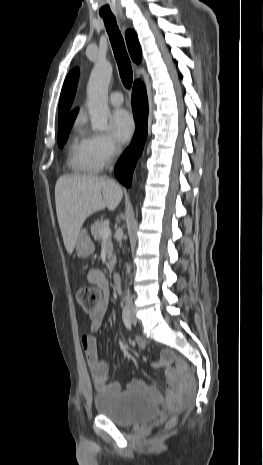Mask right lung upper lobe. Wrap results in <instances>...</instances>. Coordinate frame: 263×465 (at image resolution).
<instances>
[{
    "instance_id": "1",
    "label": "right lung upper lobe",
    "mask_w": 263,
    "mask_h": 465,
    "mask_svg": "<svg viewBox=\"0 0 263 465\" xmlns=\"http://www.w3.org/2000/svg\"><path fill=\"white\" fill-rule=\"evenodd\" d=\"M125 37H126L128 50H129V53L132 59L136 63H140L141 58H142V52H141V47H140L137 35L135 34L134 31L128 30L126 31ZM78 75H79V70L78 68H75L69 73V75L67 76L64 82L61 95H60V101H59L58 122L68 119L74 115H77L78 108L73 110L69 114L67 113L74 99V95H75L76 87H77Z\"/></svg>"
}]
</instances>
